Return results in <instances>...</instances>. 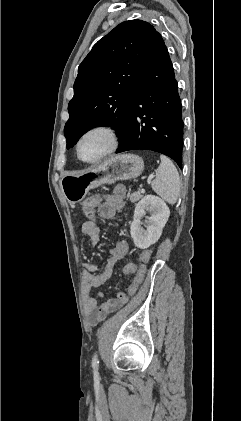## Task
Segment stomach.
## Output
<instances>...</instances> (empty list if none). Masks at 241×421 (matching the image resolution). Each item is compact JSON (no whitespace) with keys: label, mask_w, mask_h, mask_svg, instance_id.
Wrapping results in <instances>:
<instances>
[{"label":"stomach","mask_w":241,"mask_h":421,"mask_svg":"<svg viewBox=\"0 0 241 421\" xmlns=\"http://www.w3.org/2000/svg\"><path fill=\"white\" fill-rule=\"evenodd\" d=\"M144 170L143 159L135 154L113 156L83 173L65 174L60 186L70 204L82 201L87 192L101 184L137 178Z\"/></svg>","instance_id":"1"}]
</instances>
